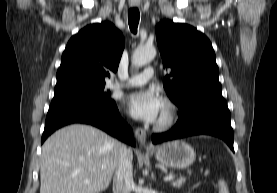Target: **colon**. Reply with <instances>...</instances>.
<instances>
[{
    "instance_id": "5ec220e1",
    "label": "colon",
    "mask_w": 277,
    "mask_h": 193,
    "mask_svg": "<svg viewBox=\"0 0 277 193\" xmlns=\"http://www.w3.org/2000/svg\"><path fill=\"white\" fill-rule=\"evenodd\" d=\"M218 193H230L229 186L224 179H220L217 184Z\"/></svg>"
}]
</instances>
